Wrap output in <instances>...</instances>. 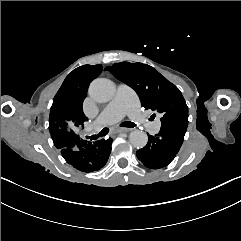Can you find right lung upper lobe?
Returning <instances> with one entry per match:
<instances>
[{
    "instance_id": "1",
    "label": "right lung upper lobe",
    "mask_w": 241,
    "mask_h": 241,
    "mask_svg": "<svg viewBox=\"0 0 241 241\" xmlns=\"http://www.w3.org/2000/svg\"><path fill=\"white\" fill-rule=\"evenodd\" d=\"M98 66L102 71V66ZM88 87L67 76L55 95L50 109L49 131L56 148H64L81 139L76 130L88 120L82 109Z\"/></svg>"
}]
</instances>
